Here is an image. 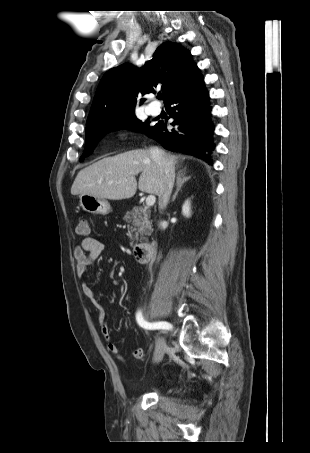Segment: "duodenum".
<instances>
[{"mask_svg": "<svg viewBox=\"0 0 310 453\" xmlns=\"http://www.w3.org/2000/svg\"><path fill=\"white\" fill-rule=\"evenodd\" d=\"M154 253V247L149 242H142L134 247V256L139 263L148 262Z\"/></svg>", "mask_w": 310, "mask_h": 453, "instance_id": "410a0bca", "label": "duodenum"}]
</instances>
